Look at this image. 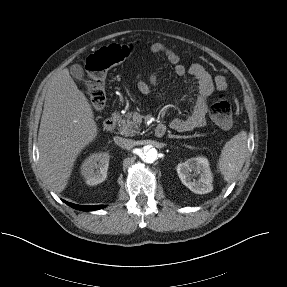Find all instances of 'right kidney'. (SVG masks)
I'll use <instances>...</instances> for the list:
<instances>
[{
	"instance_id": "right-kidney-1",
	"label": "right kidney",
	"mask_w": 287,
	"mask_h": 287,
	"mask_svg": "<svg viewBox=\"0 0 287 287\" xmlns=\"http://www.w3.org/2000/svg\"><path fill=\"white\" fill-rule=\"evenodd\" d=\"M110 156L106 152L94 153L81 165V174L88 185L102 183L107 177Z\"/></svg>"
}]
</instances>
